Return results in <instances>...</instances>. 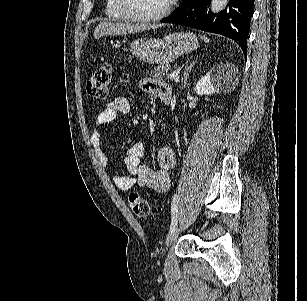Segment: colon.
I'll list each match as a JSON object with an SVG mask.
<instances>
[{
    "instance_id": "1",
    "label": "colon",
    "mask_w": 307,
    "mask_h": 301,
    "mask_svg": "<svg viewBox=\"0 0 307 301\" xmlns=\"http://www.w3.org/2000/svg\"><path fill=\"white\" fill-rule=\"evenodd\" d=\"M112 78V68L110 64H103L98 67L89 77L86 90L87 93L98 100H103L108 95L109 85ZM128 202L133 213L140 218H148L152 215L151 208L147 200L138 193H131Z\"/></svg>"
}]
</instances>
